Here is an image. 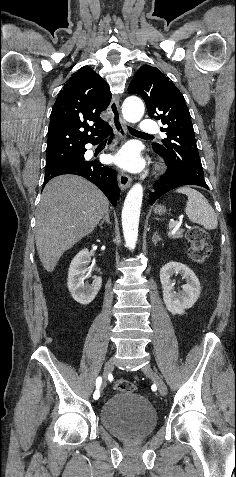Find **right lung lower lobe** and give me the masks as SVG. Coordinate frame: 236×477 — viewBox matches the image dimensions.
I'll return each instance as SVG.
<instances>
[{"mask_svg": "<svg viewBox=\"0 0 236 477\" xmlns=\"http://www.w3.org/2000/svg\"><path fill=\"white\" fill-rule=\"evenodd\" d=\"M112 134V128L109 127L107 132L103 134L99 139L91 142L92 144H98L104 137ZM111 142V139L109 143ZM84 148L80 154L83 156V160L77 162L64 163L61 165L47 167L45 171L44 185L52 178L63 174H74L82 176L92 183H94L102 192L107 196L113 206H116L117 199L119 197V188L117 183V177L115 170L102 165L98 160L85 161Z\"/></svg>", "mask_w": 236, "mask_h": 477, "instance_id": "right-lung-lower-lobe-1", "label": "right lung lower lobe"}]
</instances>
